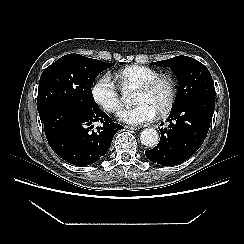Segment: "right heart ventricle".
<instances>
[{
    "label": "right heart ventricle",
    "instance_id": "e07e8e85",
    "mask_svg": "<svg viewBox=\"0 0 244 244\" xmlns=\"http://www.w3.org/2000/svg\"><path fill=\"white\" fill-rule=\"evenodd\" d=\"M159 75L154 68L141 65H130L121 68L114 74L115 81L120 90L137 89L139 86Z\"/></svg>",
    "mask_w": 244,
    "mask_h": 244
}]
</instances>
